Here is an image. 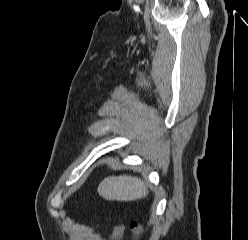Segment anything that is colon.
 Wrapping results in <instances>:
<instances>
[{
	"label": "colon",
	"mask_w": 248,
	"mask_h": 240,
	"mask_svg": "<svg viewBox=\"0 0 248 240\" xmlns=\"http://www.w3.org/2000/svg\"><path fill=\"white\" fill-rule=\"evenodd\" d=\"M132 229H133L134 233L136 234V237H138V234L141 231V226L139 225V223L133 222L132 223Z\"/></svg>",
	"instance_id": "colon-1"
}]
</instances>
